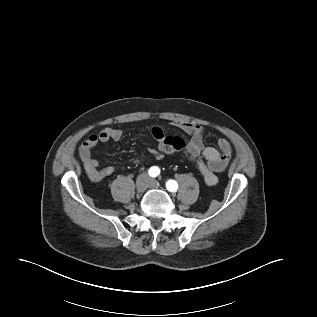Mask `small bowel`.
I'll return each instance as SVG.
<instances>
[{"mask_svg":"<svg viewBox=\"0 0 317 317\" xmlns=\"http://www.w3.org/2000/svg\"><path fill=\"white\" fill-rule=\"evenodd\" d=\"M171 125L189 137L186 144L181 138L177 137L182 142L180 150L185 151L192 158L196 159L197 167L207 185H216L218 182L217 173L223 171L231 159L232 147L230 142L225 138H220L217 148L206 147L204 145V129L202 126L180 120L172 121ZM150 133L160 141L157 149H150V154L160 160L166 154L161 148V144L166 136L163 129L157 126L151 127ZM122 137L123 131L112 127H105L98 133L90 135L81 144L79 151L80 158L91 180L99 181L111 176L115 172L114 166H99V162L92 156L93 149L100 142L110 140L119 141Z\"/></svg>","mask_w":317,"mask_h":317,"instance_id":"obj_1","label":"small bowel"}]
</instances>
